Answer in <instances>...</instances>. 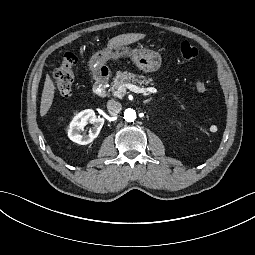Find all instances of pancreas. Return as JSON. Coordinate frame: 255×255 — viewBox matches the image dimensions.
<instances>
[{
	"label": "pancreas",
	"instance_id": "pancreas-1",
	"mask_svg": "<svg viewBox=\"0 0 255 255\" xmlns=\"http://www.w3.org/2000/svg\"><path fill=\"white\" fill-rule=\"evenodd\" d=\"M132 82L133 84H139V85H148L152 82V78H146L143 75H136L127 71L121 72L117 71L116 76L113 78L112 87L110 88V91L114 94L119 86L123 84H128ZM153 85V83H151ZM182 109H184V106H181Z\"/></svg>",
	"mask_w": 255,
	"mask_h": 255
}]
</instances>
